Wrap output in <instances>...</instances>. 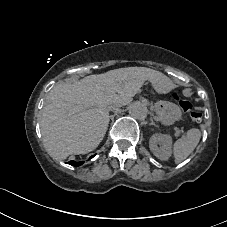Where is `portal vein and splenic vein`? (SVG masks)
<instances>
[{"mask_svg":"<svg viewBox=\"0 0 227 227\" xmlns=\"http://www.w3.org/2000/svg\"><path fill=\"white\" fill-rule=\"evenodd\" d=\"M173 129L175 130V135L176 136H179L180 134L183 133V130L182 129H178L176 126Z\"/></svg>","mask_w":227,"mask_h":227,"instance_id":"obj_1","label":"portal vein and splenic vein"}]
</instances>
